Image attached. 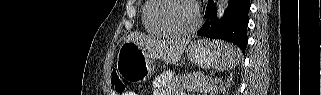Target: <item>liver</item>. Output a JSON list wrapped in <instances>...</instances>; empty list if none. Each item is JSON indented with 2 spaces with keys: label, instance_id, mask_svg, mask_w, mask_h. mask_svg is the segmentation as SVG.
<instances>
[{
  "label": "liver",
  "instance_id": "1",
  "mask_svg": "<svg viewBox=\"0 0 321 95\" xmlns=\"http://www.w3.org/2000/svg\"><path fill=\"white\" fill-rule=\"evenodd\" d=\"M125 42H134L153 57L170 64L177 63L189 40H154L140 33H130Z\"/></svg>",
  "mask_w": 321,
  "mask_h": 95
}]
</instances>
